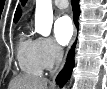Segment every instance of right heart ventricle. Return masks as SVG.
Segmentation results:
<instances>
[{
	"mask_svg": "<svg viewBox=\"0 0 107 89\" xmlns=\"http://www.w3.org/2000/svg\"><path fill=\"white\" fill-rule=\"evenodd\" d=\"M17 59L21 70L28 75L38 76L44 69L39 58L38 41L26 33L20 36Z\"/></svg>",
	"mask_w": 107,
	"mask_h": 89,
	"instance_id": "right-heart-ventricle-1",
	"label": "right heart ventricle"
}]
</instances>
